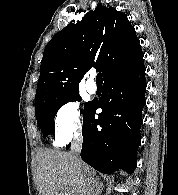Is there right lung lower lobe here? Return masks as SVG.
<instances>
[{"instance_id":"98d812e1","label":"right lung lower lobe","mask_w":178,"mask_h":195,"mask_svg":"<svg viewBox=\"0 0 178 195\" xmlns=\"http://www.w3.org/2000/svg\"><path fill=\"white\" fill-rule=\"evenodd\" d=\"M103 89L99 102H91L83 116L81 157L102 173L124 170L131 174L136 168L146 103L143 60L134 68L105 79ZM98 108L103 111L95 119Z\"/></svg>"}]
</instances>
